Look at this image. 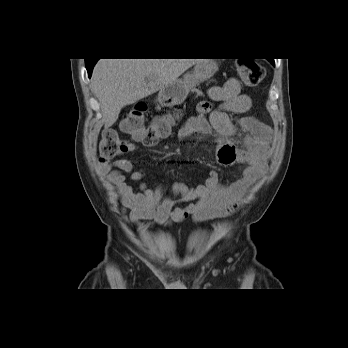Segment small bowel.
<instances>
[{
  "instance_id": "1",
  "label": "small bowel",
  "mask_w": 348,
  "mask_h": 348,
  "mask_svg": "<svg viewBox=\"0 0 348 348\" xmlns=\"http://www.w3.org/2000/svg\"><path fill=\"white\" fill-rule=\"evenodd\" d=\"M207 95L210 101L198 104L197 114L184 122L179 137L186 140L193 134H207L213 130L218 136V161L224 166L244 165L241 176L229 184H223L218 173L212 171L205 182L196 187L176 182L171 187L160 185L151 189L142 182L140 191L135 192L126 181L142 180L146 176L144 170H134L129 159L102 164L101 171L119 193L123 212L129 210L126 219L138 228L146 230L154 225H169L188 216L197 222L227 217L238 209L248 189L264 174L271 155L272 130L254 117H242L234 122L228 115L244 114L252 105L251 98L241 93L239 81L230 78L223 85L210 87ZM212 102H217V106H213ZM238 127L246 130L241 148L230 140ZM137 148L130 144L128 152ZM177 203L188 204L176 207ZM145 220H151V223H145Z\"/></svg>"
}]
</instances>
